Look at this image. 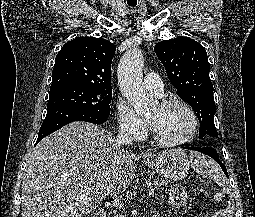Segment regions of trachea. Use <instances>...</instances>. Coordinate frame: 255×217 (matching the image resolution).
Segmentation results:
<instances>
[{
    "label": "trachea",
    "mask_w": 255,
    "mask_h": 217,
    "mask_svg": "<svg viewBox=\"0 0 255 217\" xmlns=\"http://www.w3.org/2000/svg\"><path fill=\"white\" fill-rule=\"evenodd\" d=\"M129 6H132V7H134V6H136V4H128Z\"/></svg>",
    "instance_id": "1"
}]
</instances>
